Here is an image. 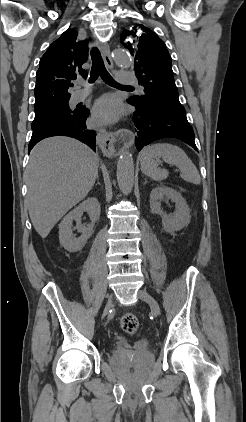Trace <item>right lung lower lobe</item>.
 Here are the masks:
<instances>
[{
  "label": "right lung lower lobe",
  "mask_w": 246,
  "mask_h": 422,
  "mask_svg": "<svg viewBox=\"0 0 246 422\" xmlns=\"http://www.w3.org/2000/svg\"><path fill=\"white\" fill-rule=\"evenodd\" d=\"M77 110L76 115L72 118L52 120L32 127L33 134L28 146L29 152L39 141L51 136H69L76 138L95 151L96 132L88 129L85 124V121L89 116V110L86 108Z\"/></svg>",
  "instance_id": "obj_1"
}]
</instances>
